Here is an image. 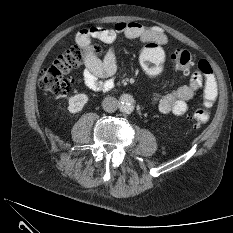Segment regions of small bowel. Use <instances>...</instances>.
Listing matches in <instances>:
<instances>
[{
    "mask_svg": "<svg viewBox=\"0 0 233 233\" xmlns=\"http://www.w3.org/2000/svg\"><path fill=\"white\" fill-rule=\"evenodd\" d=\"M119 35L128 39H138L142 43L154 41L159 45L168 42L166 35L158 27L146 28L139 22H118L111 27L91 26L82 29L76 36L79 46L89 48L92 39H98L109 45L103 59L89 52L84 59V83L95 92H109L114 88L112 76L117 70L115 44ZM204 77L199 71H194L187 84L169 92H157L152 97V103L161 113H172L184 116L187 113V102L204 86Z\"/></svg>",
    "mask_w": 233,
    "mask_h": 233,
    "instance_id": "obj_1",
    "label": "small bowel"
}]
</instances>
